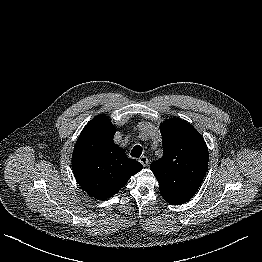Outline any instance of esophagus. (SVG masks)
Wrapping results in <instances>:
<instances>
[{
	"label": "esophagus",
	"instance_id": "1",
	"mask_svg": "<svg viewBox=\"0 0 262 262\" xmlns=\"http://www.w3.org/2000/svg\"><path fill=\"white\" fill-rule=\"evenodd\" d=\"M139 162L143 165V166H147L148 165V158L146 156H141L139 158Z\"/></svg>",
	"mask_w": 262,
	"mask_h": 262
}]
</instances>
